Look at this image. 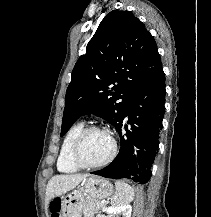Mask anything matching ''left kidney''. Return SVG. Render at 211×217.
I'll list each match as a JSON object with an SVG mask.
<instances>
[{
	"label": "left kidney",
	"mask_w": 211,
	"mask_h": 217,
	"mask_svg": "<svg viewBox=\"0 0 211 217\" xmlns=\"http://www.w3.org/2000/svg\"><path fill=\"white\" fill-rule=\"evenodd\" d=\"M132 208L128 204L124 205H112L106 208H103V212H106L108 216L99 215L98 217H119L122 215L123 217H131Z\"/></svg>",
	"instance_id": "obj_1"
}]
</instances>
